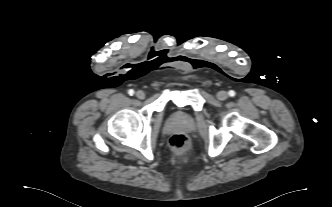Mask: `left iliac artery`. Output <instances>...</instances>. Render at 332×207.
<instances>
[{
	"instance_id": "1",
	"label": "left iliac artery",
	"mask_w": 332,
	"mask_h": 207,
	"mask_svg": "<svg viewBox=\"0 0 332 207\" xmlns=\"http://www.w3.org/2000/svg\"><path fill=\"white\" fill-rule=\"evenodd\" d=\"M229 96L234 97V96H235V91L230 90V91H229Z\"/></svg>"
}]
</instances>
